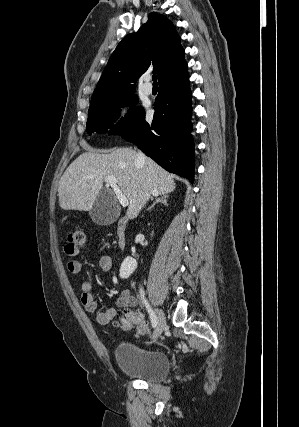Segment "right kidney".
I'll use <instances>...</instances> for the list:
<instances>
[{"label":"right kidney","instance_id":"right-kidney-1","mask_svg":"<svg viewBox=\"0 0 299 427\" xmlns=\"http://www.w3.org/2000/svg\"><path fill=\"white\" fill-rule=\"evenodd\" d=\"M136 268H137L136 260L131 257H126L121 264L119 275L121 278L127 279L136 270Z\"/></svg>","mask_w":299,"mask_h":427}]
</instances>
